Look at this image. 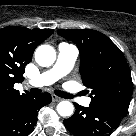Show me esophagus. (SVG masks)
<instances>
[{
  "label": "esophagus",
  "instance_id": "34e87169",
  "mask_svg": "<svg viewBox=\"0 0 136 136\" xmlns=\"http://www.w3.org/2000/svg\"><path fill=\"white\" fill-rule=\"evenodd\" d=\"M62 100V98H60V97H58V96H56V95H52V101H54V102H59V101H61Z\"/></svg>",
  "mask_w": 136,
  "mask_h": 136
}]
</instances>
